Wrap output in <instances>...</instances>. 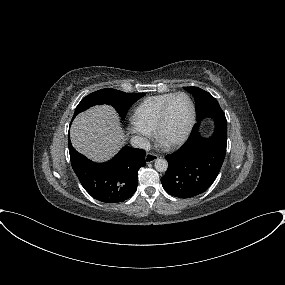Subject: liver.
I'll return each mask as SVG.
<instances>
[{
  "label": "liver",
  "instance_id": "obj_1",
  "mask_svg": "<svg viewBox=\"0 0 285 285\" xmlns=\"http://www.w3.org/2000/svg\"><path fill=\"white\" fill-rule=\"evenodd\" d=\"M70 133L73 147L96 162L106 161L115 155L124 139L119 117L107 105L95 106L79 114Z\"/></svg>",
  "mask_w": 285,
  "mask_h": 285
}]
</instances>
